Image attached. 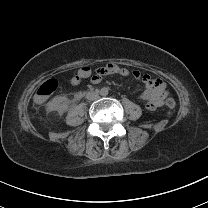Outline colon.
Instances as JSON below:
<instances>
[{"instance_id":"colon-1","label":"colon","mask_w":208,"mask_h":208,"mask_svg":"<svg viewBox=\"0 0 208 208\" xmlns=\"http://www.w3.org/2000/svg\"><path fill=\"white\" fill-rule=\"evenodd\" d=\"M92 72L93 71L89 67H82L79 71L78 76L80 78H88L91 75ZM79 77H74L73 78V83L74 84H79L80 83V78ZM81 81H83V80H81ZM59 84H60V81L56 77H53V78L47 80L38 89V92L35 94V99L39 103H44L48 99V96H50L58 88ZM165 103H166V107L168 109V114H171L173 112L175 106H176L175 101L172 98H168Z\"/></svg>"}]
</instances>
